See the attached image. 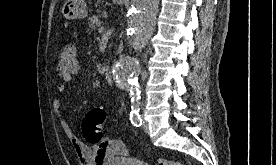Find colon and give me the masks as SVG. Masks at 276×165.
Segmentation results:
<instances>
[{
    "instance_id": "5ec220e1",
    "label": "colon",
    "mask_w": 276,
    "mask_h": 165,
    "mask_svg": "<svg viewBox=\"0 0 276 165\" xmlns=\"http://www.w3.org/2000/svg\"><path fill=\"white\" fill-rule=\"evenodd\" d=\"M79 66V59L76 47L67 44L61 54L57 66L58 74L61 77H71L76 73ZM106 119V111L102 108L91 109L82 119V131L85 139L94 145L100 154L123 153V148L114 139L105 137L102 126ZM157 165H185L181 162L170 161L164 158L158 160Z\"/></svg>"
}]
</instances>
